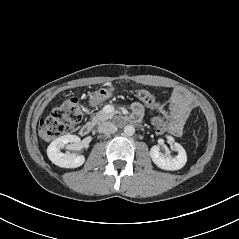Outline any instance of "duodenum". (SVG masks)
Here are the masks:
<instances>
[{"label":"duodenum","mask_w":239,"mask_h":239,"mask_svg":"<svg viewBox=\"0 0 239 239\" xmlns=\"http://www.w3.org/2000/svg\"><path fill=\"white\" fill-rule=\"evenodd\" d=\"M93 127H94V124L90 121L84 123L79 130L80 135L82 136L88 135L92 131Z\"/></svg>","instance_id":"1"}]
</instances>
